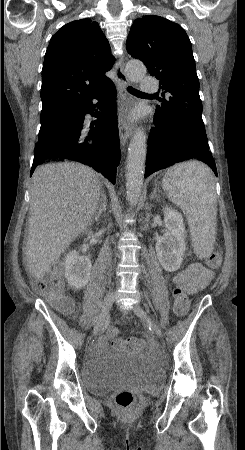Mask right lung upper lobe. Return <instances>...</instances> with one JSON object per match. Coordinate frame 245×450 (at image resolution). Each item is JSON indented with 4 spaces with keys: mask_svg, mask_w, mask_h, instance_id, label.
<instances>
[{
    "mask_svg": "<svg viewBox=\"0 0 245 450\" xmlns=\"http://www.w3.org/2000/svg\"><path fill=\"white\" fill-rule=\"evenodd\" d=\"M115 58L97 22L81 19L63 26L50 40L42 69V112L67 109L111 80Z\"/></svg>",
    "mask_w": 245,
    "mask_h": 450,
    "instance_id": "cb5924a9",
    "label": "right lung upper lobe"
}]
</instances>
